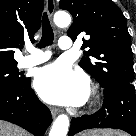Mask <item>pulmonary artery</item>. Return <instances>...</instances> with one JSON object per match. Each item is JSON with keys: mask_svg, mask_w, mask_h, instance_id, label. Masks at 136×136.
Segmentation results:
<instances>
[{"mask_svg": "<svg viewBox=\"0 0 136 136\" xmlns=\"http://www.w3.org/2000/svg\"><path fill=\"white\" fill-rule=\"evenodd\" d=\"M59 47L63 50H68L72 47V41L69 37H61L59 39ZM29 55L23 57L19 65L20 67L26 68V67H31L37 64H41L45 61H47L50 58V53L49 52H44L42 50L29 47L28 48Z\"/></svg>", "mask_w": 136, "mask_h": 136, "instance_id": "e3ab8cb5", "label": "pulmonary artery"}]
</instances>
